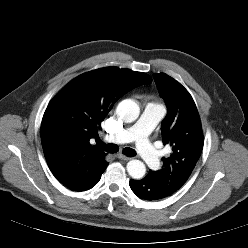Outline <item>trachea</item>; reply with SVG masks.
Returning a JSON list of instances; mask_svg holds the SVG:
<instances>
[{
	"label": "trachea",
	"mask_w": 248,
	"mask_h": 248,
	"mask_svg": "<svg viewBox=\"0 0 248 248\" xmlns=\"http://www.w3.org/2000/svg\"><path fill=\"white\" fill-rule=\"evenodd\" d=\"M96 143L98 148H101L108 153H116L118 151V146L116 144H105L100 139H97ZM123 154H125L127 157H134L136 152L134 149L126 147L123 149Z\"/></svg>",
	"instance_id": "1"
}]
</instances>
